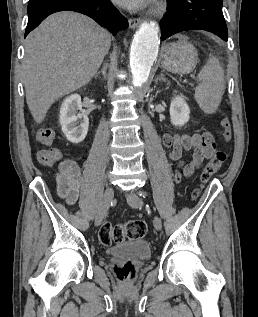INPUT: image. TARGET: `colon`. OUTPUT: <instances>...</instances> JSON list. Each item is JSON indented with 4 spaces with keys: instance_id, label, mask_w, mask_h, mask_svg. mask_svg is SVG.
<instances>
[{
    "instance_id": "obj_1",
    "label": "colon",
    "mask_w": 258,
    "mask_h": 317,
    "mask_svg": "<svg viewBox=\"0 0 258 317\" xmlns=\"http://www.w3.org/2000/svg\"><path fill=\"white\" fill-rule=\"evenodd\" d=\"M222 128V136L225 141H229L232 136L231 124L227 118H223L220 122ZM61 155L59 150L55 148L42 149L37 152L38 161L47 166H51L59 161ZM227 155L224 151L218 150L214 153L211 160L206 165L201 180L206 183L224 164ZM197 195V191L194 196ZM147 227L144 222L133 220L124 224H112L104 222L98 232L99 240L104 245L120 243L125 239L136 240L145 236ZM115 275L119 280L126 281L135 276V266L131 262L116 264L114 266Z\"/></svg>"
}]
</instances>
